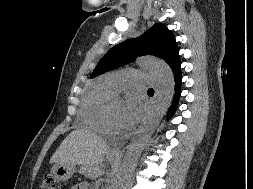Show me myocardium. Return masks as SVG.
I'll list each match as a JSON object with an SVG mask.
<instances>
[{
  "label": "myocardium",
  "mask_w": 253,
  "mask_h": 189,
  "mask_svg": "<svg viewBox=\"0 0 253 189\" xmlns=\"http://www.w3.org/2000/svg\"><path fill=\"white\" fill-rule=\"evenodd\" d=\"M105 126H106V131L110 134H113V135L124 134L123 129H118L117 127L114 126L112 117H111L110 107H107V110H106Z\"/></svg>",
  "instance_id": "obj_1"
}]
</instances>
